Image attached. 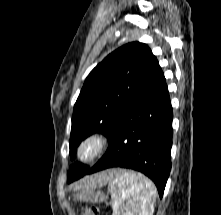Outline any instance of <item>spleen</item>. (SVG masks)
<instances>
[{
    "mask_svg": "<svg viewBox=\"0 0 221 215\" xmlns=\"http://www.w3.org/2000/svg\"><path fill=\"white\" fill-rule=\"evenodd\" d=\"M113 215L124 210V215H152L156 188L143 176L128 171H118L110 181Z\"/></svg>",
    "mask_w": 221,
    "mask_h": 215,
    "instance_id": "obj_1",
    "label": "spleen"
}]
</instances>
